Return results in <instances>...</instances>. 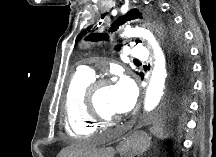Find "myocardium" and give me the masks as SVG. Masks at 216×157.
I'll return each mask as SVG.
<instances>
[{
	"label": "myocardium",
	"instance_id": "myocardium-1",
	"mask_svg": "<svg viewBox=\"0 0 216 157\" xmlns=\"http://www.w3.org/2000/svg\"><path fill=\"white\" fill-rule=\"evenodd\" d=\"M108 86V79L99 78L93 80L86 89V106L89 116L100 125H109L116 121L118 118L106 117L100 113L96 104V94L99 90Z\"/></svg>",
	"mask_w": 216,
	"mask_h": 157
}]
</instances>
